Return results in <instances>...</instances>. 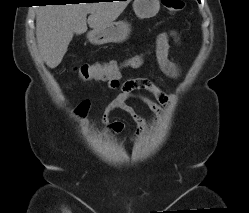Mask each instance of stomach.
<instances>
[{
	"instance_id": "stomach-1",
	"label": "stomach",
	"mask_w": 249,
	"mask_h": 213,
	"mask_svg": "<svg viewBox=\"0 0 249 213\" xmlns=\"http://www.w3.org/2000/svg\"><path fill=\"white\" fill-rule=\"evenodd\" d=\"M159 9L160 0H134L133 2V10L140 19L154 17ZM130 31V25L126 21H117L92 30L87 37L96 45L121 43L129 37Z\"/></svg>"
}]
</instances>
